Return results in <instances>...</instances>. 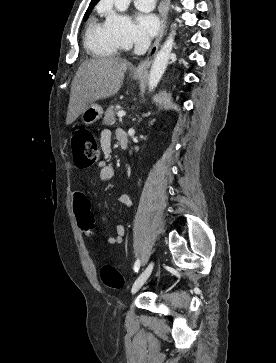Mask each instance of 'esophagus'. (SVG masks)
<instances>
[{"label": "esophagus", "instance_id": "1", "mask_svg": "<svg viewBox=\"0 0 276 363\" xmlns=\"http://www.w3.org/2000/svg\"><path fill=\"white\" fill-rule=\"evenodd\" d=\"M169 3H170V0H162L160 3V14H161L160 30H159V33L157 35L155 42L151 46L146 58L136 68L135 72L137 74L147 73V71L152 63L153 57L158 50V47H159L160 41L163 37L164 29L166 26Z\"/></svg>", "mask_w": 276, "mask_h": 363}]
</instances>
